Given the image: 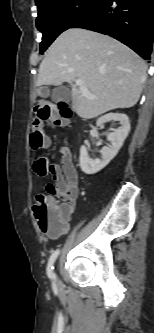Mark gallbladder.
I'll return each instance as SVG.
<instances>
[{
  "instance_id": "bac80fb5",
  "label": "gallbladder",
  "mask_w": 154,
  "mask_h": 333,
  "mask_svg": "<svg viewBox=\"0 0 154 333\" xmlns=\"http://www.w3.org/2000/svg\"><path fill=\"white\" fill-rule=\"evenodd\" d=\"M50 94V90L48 87L44 86L41 87L39 90V95L42 98H47ZM71 97V92L69 90V88L65 87V86H57L52 90L51 93V98L52 101L54 102H59V101H69Z\"/></svg>"
}]
</instances>
